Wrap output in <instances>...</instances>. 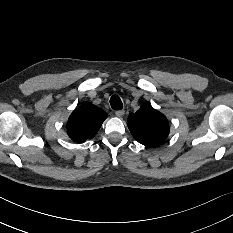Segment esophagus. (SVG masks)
<instances>
[{"instance_id":"esophagus-1","label":"esophagus","mask_w":233,"mask_h":233,"mask_svg":"<svg viewBox=\"0 0 233 233\" xmlns=\"http://www.w3.org/2000/svg\"><path fill=\"white\" fill-rule=\"evenodd\" d=\"M117 117H122L124 115V110H119L115 112Z\"/></svg>"}]
</instances>
